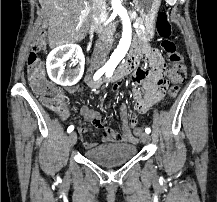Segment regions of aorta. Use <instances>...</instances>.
Here are the masks:
<instances>
[{"instance_id": "762f6f07", "label": "aorta", "mask_w": 217, "mask_h": 202, "mask_svg": "<svg viewBox=\"0 0 217 202\" xmlns=\"http://www.w3.org/2000/svg\"><path fill=\"white\" fill-rule=\"evenodd\" d=\"M113 12H116L118 16H120L122 20V38L119 42V46H117L116 50H114L111 60H114L116 64H119L120 60L124 58L125 54H127L132 40V26L131 20L128 16V12L124 6H122L121 0H111Z\"/></svg>"}]
</instances>
